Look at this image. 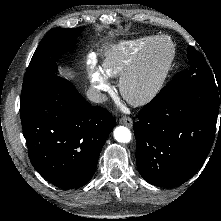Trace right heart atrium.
<instances>
[{"mask_svg": "<svg viewBox=\"0 0 221 221\" xmlns=\"http://www.w3.org/2000/svg\"><path fill=\"white\" fill-rule=\"evenodd\" d=\"M90 83L91 86L99 93L108 92L110 90V85L106 77L98 70H91Z\"/></svg>", "mask_w": 221, "mask_h": 221, "instance_id": "right-heart-atrium-1", "label": "right heart atrium"}]
</instances>
